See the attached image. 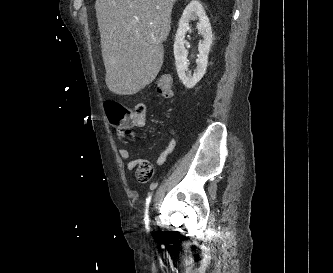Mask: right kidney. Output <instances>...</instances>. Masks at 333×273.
Wrapping results in <instances>:
<instances>
[{"label":"right kidney","instance_id":"right-kidney-1","mask_svg":"<svg viewBox=\"0 0 333 273\" xmlns=\"http://www.w3.org/2000/svg\"><path fill=\"white\" fill-rule=\"evenodd\" d=\"M191 20H198L197 29L203 38L198 46L199 55L196 59L197 67L193 75L187 71L189 60L187 59V50L184 45L185 34L190 28L189 22ZM212 41V29L204 8L199 1L193 0L183 11L174 42V57L177 74L186 88H193L204 76L208 64V54Z\"/></svg>","mask_w":333,"mask_h":273}]
</instances>
